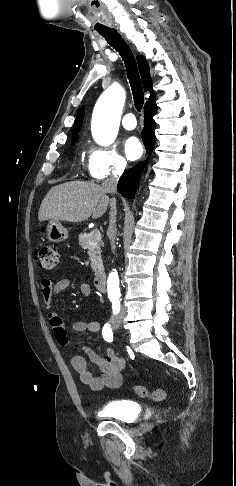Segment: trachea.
Returning <instances> with one entry per match:
<instances>
[{
  "label": "trachea",
  "instance_id": "1",
  "mask_svg": "<svg viewBox=\"0 0 236 486\" xmlns=\"http://www.w3.org/2000/svg\"><path fill=\"white\" fill-rule=\"evenodd\" d=\"M99 33L106 39L110 46L121 55L125 63L127 76L132 89L135 108L140 112L144 103V93L136 60L131 49L115 29L108 28L99 31Z\"/></svg>",
  "mask_w": 236,
  "mask_h": 486
}]
</instances>
